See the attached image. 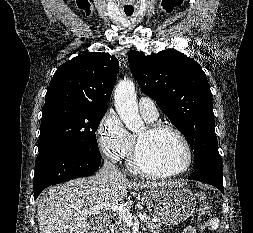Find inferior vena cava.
Returning a JSON list of instances; mask_svg holds the SVG:
<instances>
[{"label":"inferior vena cava","mask_w":253,"mask_h":233,"mask_svg":"<svg viewBox=\"0 0 253 233\" xmlns=\"http://www.w3.org/2000/svg\"><path fill=\"white\" fill-rule=\"evenodd\" d=\"M99 173L103 175L122 176L117 166L107 160L104 161L103 167Z\"/></svg>","instance_id":"inferior-vena-cava-1"}]
</instances>
